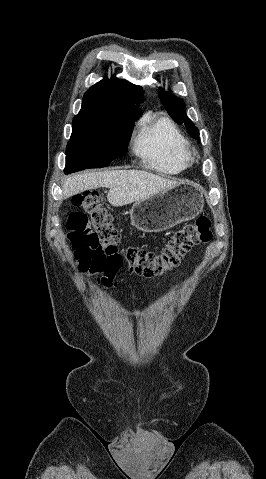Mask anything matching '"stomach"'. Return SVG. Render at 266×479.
Listing matches in <instances>:
<instances>
[{
	"label": "stomach",
	"instance_id": "1",
	"mask_svg": "<svg viewBox=\"0 0 266 479\" xmlns=\"http://www.w3.org/2000/svg\"><path fill=\"white\" fill-rule=\"evenodd\" d=\"M204 206L203 190L194 183H178L145 200L130 210L132 225L142 232L156 233L195 218Z\"/></svg>",
	"mask_w": 266,
	"mask_h": 479
}]
</instances>
